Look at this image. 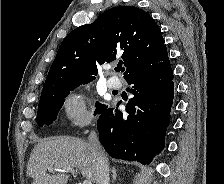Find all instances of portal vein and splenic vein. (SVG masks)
Listing matches in <instances>:
<instances>
[{
  "label": "portal vein and splenic vein",
  "instance_id": "obj_1",
  "mask_svg": "<svg viewBox=\"0 0 224 184\" xmlns=\"http://www.w3.org/2000/svg\"><path fill=\"white\" fill-rule=\"evenodd\" d=\"M48 170L49 171H58V170H60V171H63V172L72 173L73 175L76 174V172H77L76 170H74L72 168H67V167H64L62 169H58V168H53L52 167V168H49ZM82 184H92V183L89 180H84Z\"/></svg>",
  "mask_w": 224,
  "mask_h": 184
}]
</instances>
